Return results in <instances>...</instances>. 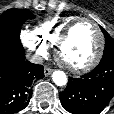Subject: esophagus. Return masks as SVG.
<instances>
[{
  "label": "esophagus",
  "mask_w": 114,
  "mask_h": 114,
  "mask_svg": "<svg viewBox=\"0 0 114 114\" xmlns=\"http://www.w3.org/2000/svg\"><path fill=\"white\" fill-rule=\"evenodd\" d=\"M52 72H53V69L52 68H50L48 66H46L44 68V74H45V76H49Z\"/></svg>",
  "instance_id": "esophagus-1"
}]
</instances>
